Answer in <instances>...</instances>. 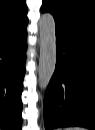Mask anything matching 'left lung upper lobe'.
Returning a JSON list of instances; mask_svg holds the SVG:
<instances>
[{"mask_svg": "<svg viewBox=\"0 0 95 130\" xmlns=\"http://www.w3.org/2000/svg\"><path fill=\"white\" fill-rule=\"evenodd\" d=\"M42 12H50L55 26H68L95 37L94 0H43Z\"/></svg>", "mask_w": 95, "mask_h": 130, "instance_id": "5c2ea615", "label": "left lung upper lobe"}]
</instances>
